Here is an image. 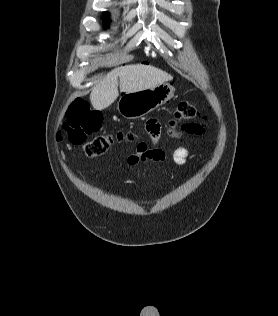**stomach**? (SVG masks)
<instances>
[{
	"instance_id": "stomach-1",
	"label": "stomach",
	"mask_w": 278,
	"mask_h": 316,
	"mask_svg": "<svg viewBox=\"0 0 278 316\" xmlns=\"http://www.w3.org/2000/svg\"><path fill=\"white\" fill-rule=\"evenodd\" d=\"M174 87L161 83L155 87L134 93H126L119 98L117 109L127 119L142 117L165 104L174 95Z\"/></svg>"
}]
</instances>
